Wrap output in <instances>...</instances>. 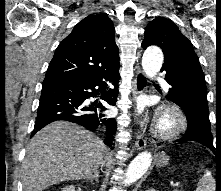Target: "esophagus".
<instances>
[{
	"instance_id": "esophagus-1",
	"label": "esophagus",
	"mask_w": 221,
	"mask_h": 191,
	"mask_svg": "<svg viewBox=\"0 0 221 191\" xmlns=\"http://www.w3.org/2000/svg\"><path fill=\"white\" fill-rule=\"evenodd\" d=\"M147 76L145 73L139 68L136 71V76L134 79V89H133V97L136 98L137 95L142 94L147 89ZM147 142L146 139L143 137L142 134L137 133L136 142H135V149L142 150L146 146Z\"/></svg>"
}]
</instances>
